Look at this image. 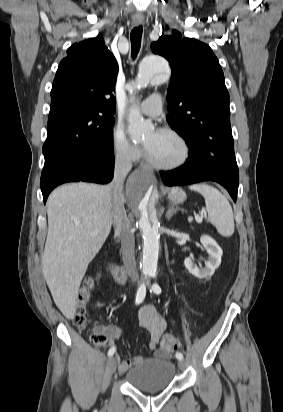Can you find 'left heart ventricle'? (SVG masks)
I'll return each instance as SVG.
<instances>
[{
    "label": "left heart ventricle",
    "mask_w": 283,
    "mask_h": 412,
    "mask_svg": "<svg viewBox=\"0 0 283 412\" xmlns=\"http://www.w3.org/2000/svg\"><path fill=\"white\" fill-rule=\"evenodd\" d=\"M151 158L164 165H169L179 161L183 154L180 142L167 133L153 131L149 133L143 141Z\"/></svg>",
    "instance_id": "1"
}]
</instances>
